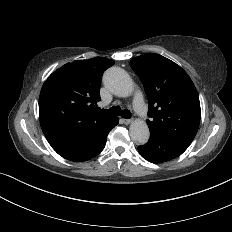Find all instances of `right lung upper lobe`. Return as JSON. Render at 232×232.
<instances>
[{
    "label": "right lung upper lobe",
    "mask_w": 232,
    "mask_h": 232,
    "mask_svg": "<svg viewBox=\"0 0 232 232\" xmlns=\"http://www.w3.org/2000/svg\"><path fill=\"white\" fill-rule=\"evenodd\" d=\"M113 64V60L102 57L77 60L48 77L39 97L40 125L45 136L78 133L113 117L95 107L100 101L103 72Z\"/></svg>",
    "instance_id": "right-lung-upper-lobe-1"
}]
</instances>
